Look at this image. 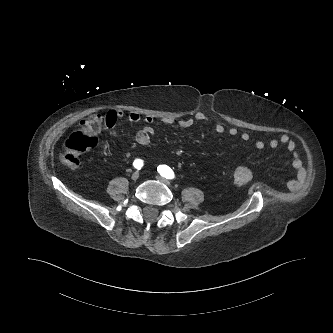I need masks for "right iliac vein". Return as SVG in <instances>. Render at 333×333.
Wrapping results in <instances>:
<instances>
[{
	"label": "right iliac vein",
	"instance_id": "obj_1",
	"mask_svg": "<svg viewBox=\"0 0 333 333\" xmlns=\"http://www.w3.org/2000/svg\"><path fill=\"white\" fill-rule=\"evenodd\" d=\"M131 178H132V180L136 181L139 178V172L138 171L134 172L132 174Z\"/></svg>",
	"mask_w": 333,
	"mask_h": 333
}]
</instances>
